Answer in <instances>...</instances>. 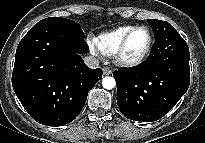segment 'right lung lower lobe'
Wrapping results in <instances>:
<instances>
[{"instance_id":"right-lung-lower-lobe-1","label":"right lung lower lobe","mask_w":205,"mask_h":143,"mask_svg":"<svg viewBox=\"0 0 205 143\" xmlns=\"http://www.w3.org/2000/svg\"><path fill=\"white\" fill-rule=\"evenodd\" d=\"M84 38L53 24L34 25L20 41L12 85L29 115L46 126L72 122L82 111L89 90L102 78L88 68Z\"/></svg>"}]
</instances>
